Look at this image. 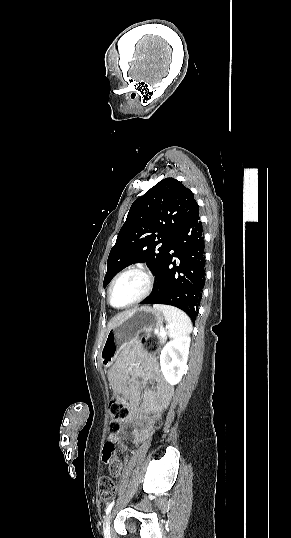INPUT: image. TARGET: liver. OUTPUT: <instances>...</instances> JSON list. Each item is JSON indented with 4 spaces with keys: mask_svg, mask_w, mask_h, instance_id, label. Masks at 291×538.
<instances>
[{
    "mask_svg": "<svg viewBox=\"0 0 291 538\" xmlns=\"http://www.w3.org/2000/svg\"><path fill=\"white\" fill-rule=\"evenodd\" d=\"M135 309L133 310H129V311H126V312H123L121 314H119L118 316H116L115 318H113L109 323H108V326H107V333L118 323L120 322L121 320H123L125 317H127L132 311H134Z\"/></svg>",
    "mask_w": 291,
    "mask_h": 538,
    "instance_id": "6515ba94",
    "label": "liver"
}]
</instances>
